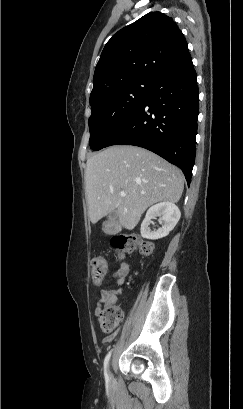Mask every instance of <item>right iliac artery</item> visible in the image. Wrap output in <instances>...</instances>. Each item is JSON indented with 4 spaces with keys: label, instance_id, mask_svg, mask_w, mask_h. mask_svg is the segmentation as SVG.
<instances>
[{
    "label": "right iliac artery",
    "instance_id": "1",
    "mask_svg": "<svg viewBox=\"0 0 243 409\" xmlns=\"http://www.w3.org/2000/svg\"><path fill=\"white\" fill-rule=\"evenodd\" d=\"M111 353H112V351H110V352L106 355V357H105V359H104V375H105L106 383L109 382V377H108V373H107V367H108V363H109V360H110V357H111Z\"/></svg>",
    "mask_w": 243,
    "mask_h": 409
}]
</instances>
